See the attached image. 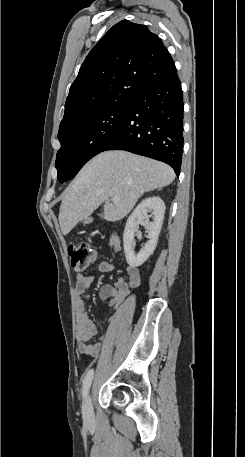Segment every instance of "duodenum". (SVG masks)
I'll use <instances>...</instances> for the list:
<instances>
[{
	"mask_svg": "<svg viewBox=\"0 0 245 457\" xmlns=\"http://www.w3.org/2000/svg\"><path fill=\"white\" fill-rule=\"evenodd\" d=\"M111 242L115 243V244H119V240L116 237H112Z\"/></svg>",
	"mask_w": 245,
	"mask_h": 457,
	"instance_id": "obj_1",
	"label": "duodenum"
}]
</instances>
